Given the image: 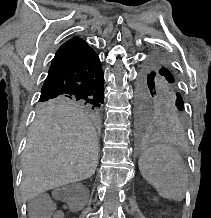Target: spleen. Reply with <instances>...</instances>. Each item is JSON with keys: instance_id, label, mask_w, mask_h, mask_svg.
<instances>
[{"instance_id": "1", "label": "spleen", "mask_w": 211, "mask_h": 218, "mask_svg": "<svg viewBox=\"0 0 211 218\" xmlns=\"http://www.w3.org/2000/svg\"><path fill=\"white\" fill-rule=\"evenodd\" d=\"M144 180L159 196L182 202L188 186V174L182 160L169 150H146L139 160Z\"/></svg>"}]
</instances>
